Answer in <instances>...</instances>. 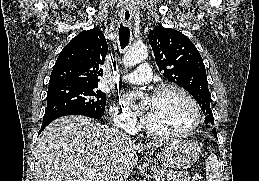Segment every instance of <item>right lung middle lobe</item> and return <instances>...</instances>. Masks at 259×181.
<instances>
[{
	"mask_svg": "<svg viewBox=\"0 0 259 181\" xmlns=\"http://www.w3.org/2000/svg\"><path fill=\"white\" fill-rule=\"evenodd\" d=\"M97 87L73 83L49 86L43 121L68 110L104 114L106 94Z\"/></svg>",
	"mask_w": 259,
	"mask_h": 181,
	"instance_id": "1",
	"label": "right lung middle lobe"
}]
</instances>
